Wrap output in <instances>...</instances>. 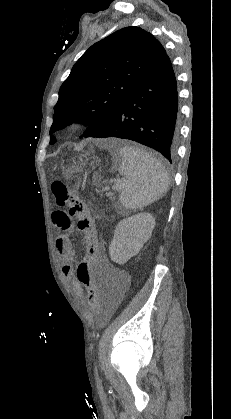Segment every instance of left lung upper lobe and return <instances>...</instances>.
Segmentation results:
<instances>
[{
	"label": "left lung upper lobe",
	"mask_w": 231,
	"mask_h": 419,
	"mask_svg": "<svg viewBox=\"0 0 231 419\" xmlns=\"http://www.w3.org/2000/svg\"><path fill=\"white\" fill-rule=\"evenodd\" d=\"M161 43L139 27H126L92 45L59 90L52 135L70 123H84L93 136L110 121L132 88L165 57Z\"/></svg>",
	"instance_id": "5c2ea615"
}]
</instances>
